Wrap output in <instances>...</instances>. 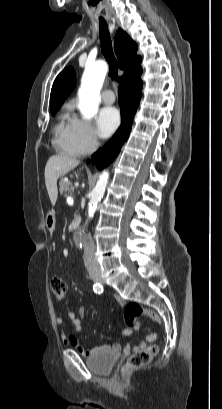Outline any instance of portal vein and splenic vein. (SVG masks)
Masks as SVG:
<instances>
[{
    "instance_id": "obj_1",
    "label": "portal vein and splenic vein",
    "mask_w": 222,
    "mask_h": 409,
    "mask_svg": "<svg viewBox=\"0 0 222 409\" xmlns=\"http://www.w3.org/2000/svg\"><path fill=\"white\" fill-rule=\"evenodd\" d=\"M69 203H70V204H73V199H70V200H69Z\"/></svg>"
}]
</instances>
